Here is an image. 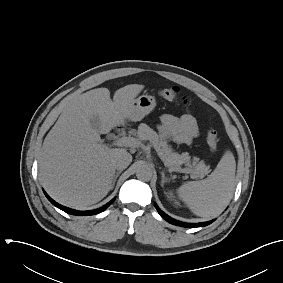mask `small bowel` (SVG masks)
Returning a JSON list of instances; mask_svg holds the SVG:
<instances>
[{"instance_id":"c3829d8e","label":"small bowel","mask_w":283,"mask_h":283,"mask_svg":"<svg viewBox=\"0 0 283 283\" xmlns=\"http://www.w3.org/2000/svg\"><path fill=\"white\" fill-rule=\"evenodd\" d=\"M158 128L164 137L176 144H191L199 135L196 118L190 112L180 117L164 114Z\"/></svg>"}]
</instances>
